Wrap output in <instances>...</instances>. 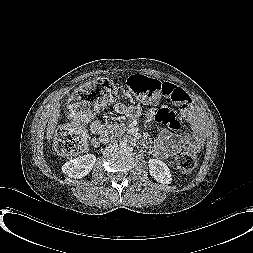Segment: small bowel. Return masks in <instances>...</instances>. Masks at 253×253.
Listing matches in <instances>:
<instances>
[{
    "label": "small bowel",
    "mask_w": 253,
    "mask_h": 253,
    "mask_svg": "<svg viewBox=\"0 0 253 253\" xmlns=\"http://www.w3.org/2000/svg\"><path fill=\"white\" fill-rule=\"evenodd\" d=\"M175 96V103L183 106L181 113L192 123L194 131L193 135L184 134L179 136V124L173 112L168 109H160L157 112L154 110L148 111L145 114L147 121L156 118L158 121L167 125L157 137H152L148 134L142 136L143 142L148 144L149 153L161 159H166L181 150L197 152L202 147L203 132L200 126L199 114L191 97L181 88L176 89ZM114 110L120 115H127L133 119L140 116V109L136 106H126L118 103L114 106ZM89 127L90 131L95 135L92 142L96 145L107 140L117 131L116 125L106 124L99 120L92 121Z\"/></svg>",
    "instance_id": "small-bowel-1"
}]
</instances>
